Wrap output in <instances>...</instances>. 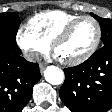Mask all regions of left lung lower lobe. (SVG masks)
<instances>
[{
  "mask_svg": "<svg viewBox=\"0 0 112 112\" xmlns=\"http://www.w3.org/2000/svg\"><path fill=\"white\" fill-rule=\"evenodd\" d=\"M64 72L59 95L72 112H107L112 108V44Z\"/></svg>",
  "mask_w": 112,
  "mask_h": 112,
  "instance_id": "obj_1",
  "label": "left lung lower lobe"
}]
</instances>
